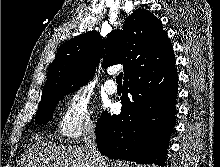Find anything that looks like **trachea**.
I'll use <instances>...</instances> for the list:
<instances>
[{
  "label": "trachea",
  "mask_w": 220,
  "mask_h": 167,
  "mask_svg": "<svg viewBox=\"0 0 220 167\" xmlns=\"http://www.w3.org/2000/svg\"><path fill=\"white\" fill-rule=\"evenodd\" d=\"M122 78H123V74L119 73V75L116 77V82L117 83H122Z\"/></svg>",
  "instance_id": "3493384b"
}]
</instances>
